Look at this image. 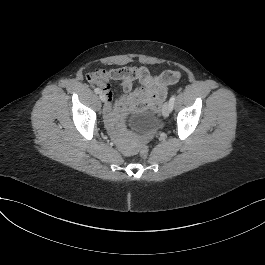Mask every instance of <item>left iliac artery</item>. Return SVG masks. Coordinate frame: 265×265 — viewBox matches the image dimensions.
<instances>
[{
	"instance_id": "left-iliac-artery-1",
	"label": "left iliac artery",
	"mask_w": 265,
	"mask_h": 265,
	"mask_svg": "<svg viewBox=\"0 0 265 265\" xmlns=\"http://www.w3.org/2000/svg\"><path fill=\"white\" fill-rule=\"evenodd\" d=\"M175 98H176V95L173 94V95L170 97V99H169V105H170V109H171V111H172L173 106H174Z\"/></svg>"
}]
</instances>
